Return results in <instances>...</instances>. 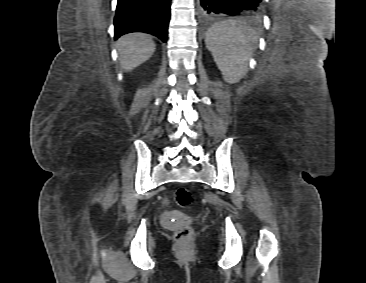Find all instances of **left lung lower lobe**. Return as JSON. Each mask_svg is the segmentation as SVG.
Returning a JSON list of instances; mask_svg holds the SVG:
<instances>
[{
  "instance_id": "left-lung-lower-lobe-1",
  "label": "left lung lower lobe",
  "mask_w": 366,
  "mask_h": 283,
  "mask_svg": "<svg viewBox=\"0 0 366 283\" xmlns=\"http://www.w3.org/2000/svg\"><path fill=\"white\" fill-rule=\"evenodd\" d=\"M263 0H200L205 17L215 15H239L242 12L254 13L262 9Z\"/></svg>"
}]
</instances>
